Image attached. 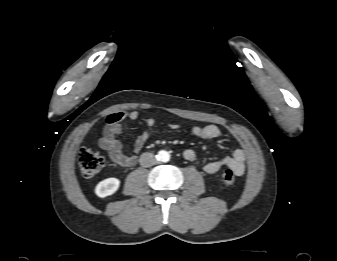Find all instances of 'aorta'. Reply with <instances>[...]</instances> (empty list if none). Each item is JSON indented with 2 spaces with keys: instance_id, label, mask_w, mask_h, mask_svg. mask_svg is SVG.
I'll use <instances>...</instances> for the list:
<instances>
[{
  "instance_id": "aorta-1",
  "label": "aorta",
  "mask_w": 337,
  "mask_h": 261,
  "mask_svg": "<svg viewBox=\"0 0 337 261\" xmlns=\"http://www.w3.org/2000/svg\"><path fill=\"white\" fill-rule=\"evenodd\" d=\"M157 157L159 161L167 162L170 159V154L167 151L162 150L158 152Z\"/></svg>"
}]
</instances>
